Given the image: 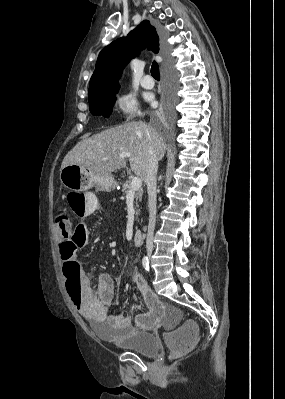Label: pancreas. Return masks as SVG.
I'll return each instance as SVG.
<instances>
[{
	"instance_id": "cf45deb5",
	"label": "pancreas",
	"mask_w": 285,
	"mask_h": 399,
	"mask_svg": "<svg viewBox=\"0 0 285 399\" xmlns=\"http://www.w3.org/2000/svg\"><path fill=\"white\" fill-rule=\"evenodd\" d=\"M131 190V182L130 181H126L122 184V191L125 193H128ZM135 199H136V207L139 206L138 202L142 201V196H143V189L140 188L138 190H136L135 192ZM138 214V211H137Z\"/></svg>"
}]
</instances>
